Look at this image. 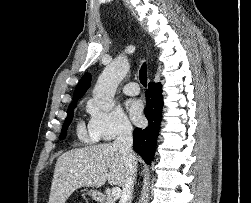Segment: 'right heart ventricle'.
I'll list each match as a JSON object with an SVG mask.
<instances>
[{
	"instance_id": "1",
	"label": "right heart ventricle",
	"mask_w": 251,
	"mask_h": 203,
	"mask_svg": "<svg viewBox=\"0 0 251 203\" xmlns=\"http://www.w3.org/2000/svg\"><path fill=\"white\" fill-rule=\"evenodd\" d=\"M77 137L84 143H93L98 139L90 130H86L82 122L77 126Z\"/></svg>"
}]
</instances>
